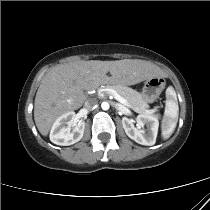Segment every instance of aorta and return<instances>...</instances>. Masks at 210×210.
Wrapping results in <instances>:
<instances>
[{"mask_svg": "<svg viewBox=\"0 0 210 210\" xmlns=\"http://www.w3.org/2000/svg\"><path fill=\"white\" fill-rule=\"evenodd\" d=\"M101 107H102L103 110H108L109 109V103L108 102H103L101 104Z\"/></svg>", "mask_w": 210, "mask_h": 210, "instance_id": "aorta-1", "label": "aorta"}]
</instances>
